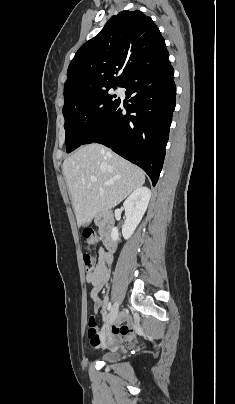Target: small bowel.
<instances>
[{"mask_svg": "<svg viewBox=\"0 0 235 404\" xmlns=\"http://www.w3.org/2000/svg\"><path fill=\"white\" fill-rule=\"evenodd\" d=\"M98 263L95 268L87 273L86 282L91 285L90 296L94 300V309L98 311L103 319V328L95 332L88 330V338L92 347L116 348L124 342L132 333L131 315L123 311L119 316V321L111 323L109 311L103 307V302L99 298V293L110 277V266L113 262V254L104 248L99 249Z\"/></svg>", "mask_w": 235, "mask_h": 404, "instance_id": "obj_1", "label": "small bowel"}]
</instances>
